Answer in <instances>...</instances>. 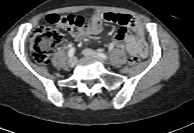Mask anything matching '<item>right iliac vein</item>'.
Wrapping results in <instances>:
<instances>
[{"mask_svg":"<svg viewBox=\"0 0 194 133\" xmlns=\"http://www.w3.org/2000/svg\"><path fill=\"white\" fill-rule=\"evenodd\" d=\"M76 62H77L76 57H72V58L69 59L68 65H69L70 67H74V66L76 65Z\"/></svg>","mask_w":194,"mask_h":133,"instance_id":"1","label":"right iliac vein"}]
</instances>
